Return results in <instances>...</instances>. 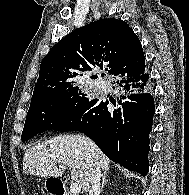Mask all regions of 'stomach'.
Returning a JSON list of instances; mask_svg holds the SVG:
<instances>
[{
	"label": "stomach",
	"mask_w": 189,
	"mask_h": 195,
	"mask_svg": "<svg viewBox=\"0 0 189 195\" xmlns=\"http://www.w3.org/2000/svg\"><path fill=\"white\" fill-rule=\"evenodd\" d=\"M49 183H50V178H47V179H46V182H45V187H46V189H48V190L51 188Z\"/></svg>",
	"instance_id": "1"
}]
</instances>
